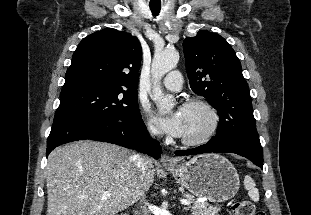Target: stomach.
I'll use <instances>...</instances> for the list:
<instances>
[{
	"instance_id": "0dacf381",
	"label": "stomach",
	"mask_w": 311,
	"mask_h": 215,
	"mask_svg": "<svg viewBox=\"0 0 311 215\" xmlns=\"http://www.w3.org/2000/svg\"><path fill=\"white\" fill-rule=\"evenodd\" d=\"M167 169L182 187L211 202H226L239 190L236 169L228 159L218 154L199 155Z\"/></svg>"
}]
</instances>
